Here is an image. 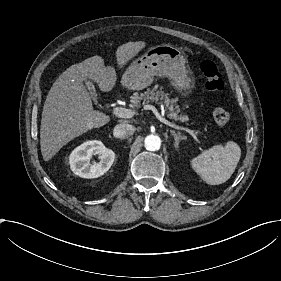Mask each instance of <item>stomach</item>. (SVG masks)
<instances>
[{
  "label": "stomach",
  "instance_id": "1",
  "mask_svg": "<svg viewBox=\"0 0 281 281\" xmlns=\"http://www.w3.org/2000/svg\"><path fill=\"white\" fill-rule=\"evenodd\" d=\"M157 77H169L180 91L188 92L193 86L190 72L185 69L181 50L162 44L149 48L131 62L121 76V85L127 90L139 91L150 86Z\"/></svg>",
  "mask_w": 281,
  "mask_h": 281
}]
</instances>
